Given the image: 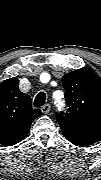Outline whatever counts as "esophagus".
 <instances>
[{"instance_id":"1","label":"esophagus","mask_w":101,"mask_h":180,"mask_svg":"<svg viewBox=\"0 0 101 180\" xmlns=\"http://www.w3.org/2000/svg\"><path fill=\"white\" fill-rule=\"evenodd\" d=\"M50 109H51L50 105H49V104H45V105L41 108V111H42V113H44V114H48V113L50 112Z\"/></svg>"}]
</instances>
